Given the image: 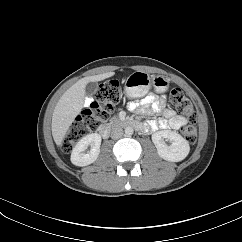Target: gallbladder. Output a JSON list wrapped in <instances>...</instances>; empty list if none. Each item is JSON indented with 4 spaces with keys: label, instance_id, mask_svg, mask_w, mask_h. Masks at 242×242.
<instances>
[{
    "label": "gallbladder",
    "instance_id": "bac80fb5",
    "mask_svg": "<svg viewBox=\"0 0 242 242\" xmlns=\"http://www.w3.org/2000/svg\"><path fill=\"white\" fill-rule=\"evenodd\" d=\"M97 91V85L93 82L87 84L86 92L90 95H93Z\"/></svg>",
    "mask_w": 242,
    "mask_h": 242
}]
</instances>
